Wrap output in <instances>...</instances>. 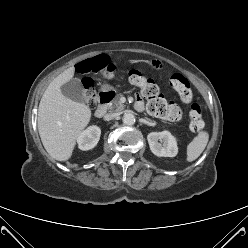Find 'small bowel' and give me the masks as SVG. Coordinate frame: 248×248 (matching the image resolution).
I'll return each mask as SVG.
<instances>
[{
  "label": "small bowel",
  "instance_id": "small-bowel-1",
  "mask_svg": "<svg viewBox=\"0 0 248 248\" xmlns=\"http://www.w3.org/2000/svg\"><path fill=\"white\" fill-rule=\"evenodd\" d=\"M137 108H139V109H142L143 108V104H142V102L140 101V100H138L137 101ZM179 117H180V113L178 112V114H177V116L176 117H174V118H170L171 120H177V119H179Z\"/></svg>",
  "mask_w": 248,
  "mask_h": 248
}]
</instances>
